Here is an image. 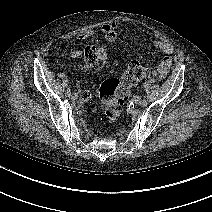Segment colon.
<instances>
[{"mask_svg":"<svg viewBox=\"0 0 212 212\" xmlns=\"http://www.w3.org/2000/svg\"><path fill=\"white\" fill-rule=\"evenodd\" d=\"M108 59L107 48L103 45L89 46L83 53V68L102 67ZM154 70L142 61H132L123 72L121 79L108 78L99 88L101 106L107 122L114 125L128 99L132 87L153 75Z\"/></svg>","mask_w":212,"mask_h":212,"instance_id":"5ec220e1","label":"colon"}]
</instances>
